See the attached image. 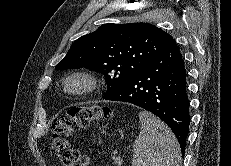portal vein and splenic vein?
Masks as SVG:
<instances>
[{
    "mask_svg": "<svg viewBox=\"0 0 231 166\" xmlns=\"http://www.w3.org/2000/svg\"><path fill=\"white\" fill-rule=\"evenodd\" d=\"M115 162H116L118 165H120V164L122 163L121 157H120V156H117V157L115 158Z\"/></svg>",
    "mask_w": 231,
    "mask_h": 166,
    "instance_id": "18ae733b",
    "label": "portal vein and splenic vein"
}]
</instances>
